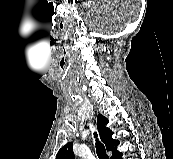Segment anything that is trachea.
<instances>
[{"instance_id": "obj_1", "label": "trachea", "mask_w": 173, "mask_h": 159, "mask_svg": "<svg viewBox=\"0 0 173 159\" xmlns=\"http://www.w3.org/2000/svg\"><path fill=\"white\" fill-rule=\"evenodd\" d=\"M94 137L96 138V153L98 155V158L99 159H109V157L106 154L104 145L97 139L96 132L94 133Z\"/></svg>"}]
</instances>
